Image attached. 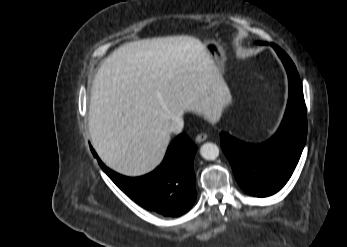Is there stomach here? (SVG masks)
Instances as JSON below:
<instances>
[{"label":"stomach","mask_w":347,"mask_h":247,"mask_svg":"<svg viewBox=\"0 0 347 247\" xmlns=\"http://www.w3.org/2000/svg\"><path fill=\"white\" fill-rule=\"evenodd\" d=\"M206 52L214 60L215 64L218 66H223L226 55L223 47L216 41H208L205 43Z\"/></svg>","instance_id":"1"}]
</instances>
